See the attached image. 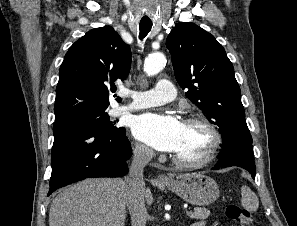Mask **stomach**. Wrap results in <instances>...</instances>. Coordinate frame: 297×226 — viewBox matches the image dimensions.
<instances>
[{
	"instance_id": "obj_1",
	"label": "stomach",
	"mask_w": 297,
	"mask_h": 226,
	"mask_svg": "<svg viewBox=\"0 0 297 226\" xmlns=\"http://www.w3.org/2000/svg\"><path fill=\"white\" fill-rule=\"evenodd\" d=\"M165 185L179 197L193 205H208L213 203L219 196V188L211 177L196 173L189 174L176 181Z\"/></svg>"
}]
</instances>
